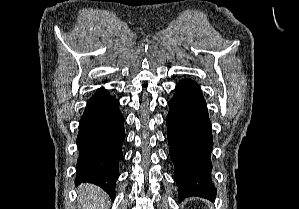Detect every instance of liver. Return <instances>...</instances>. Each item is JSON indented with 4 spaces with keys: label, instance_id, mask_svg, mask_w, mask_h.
Masks as SVG:
<instances>
[{
    "label": "liver",
    "instance_id": "liver-1",
    "mask_svg": "<svg viewBox=\"0 0 299 209\" xmlns=\"http://www.w3.org/2000/svg\"><path fill=\"white\" fill-rule=\"evenodd\" d=\"M79 202L83 209H106L107 195L93 185H82L79 188Z\"/></svg>",
    "mask_w": 299,
    "mask_h": 209
}]
</instances>
